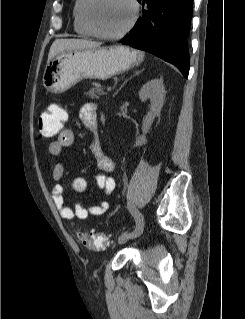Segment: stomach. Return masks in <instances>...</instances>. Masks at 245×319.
<instances>
[{
    "label": "stomach",
    "mask_w": 245,
    "mask_h": 319,
    "mask_svg": "<svg viewBox=\"0 0 245 319\" xmlns=\"http://www.w3.org/2000/svg\"><path fill=\"white\" fill-rule=\"evenodd\" d=\"M143 57L142 52L124 46L63 51L48 61L43 85L51 93H63L82 79H107L122 73Z\"/></svg>",
    "instance_id": "obj_1"
}]
</instances>
